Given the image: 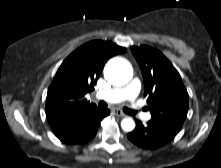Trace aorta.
<instances>
[{
    "label": "aorta",
    "instance_id": "aorta-1",
    "mask_svg": "<svg viewBox=\"0 0 221 168\" xmlns=\"http://www.w3.org/2000/svg\"><path fill=\"white\" fill-rule=\"evenodd\" d=\"M105 78L114 85L123 86L133 77L131 64L124 58L115 57L110 59L104 68ZM121 127L126 132H131L135 128V122L130 117H125L121 121Z\"/></svg>",
    "mask_w": 221,
    "mask_h": 168
}]
</instances>
